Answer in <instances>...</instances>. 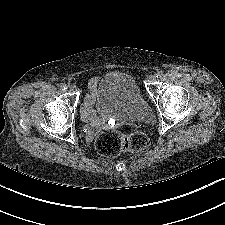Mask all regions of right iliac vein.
<instances>
[{"instance_id": "1", "label": "right iliac vein", "mask_w": 225, "mask_h": 225, "mask_svg": "<svg viewBox=\"0 0 225 225\" xmlns=\"http://www.w3.org/2000/svg\"><path fill=\"white\" fill-rule=\"evenodd\" d=\"M67 90H68L69 92H73V91H74V87H73L72 85H69V86L67 87Z\"/></svg>"}]
</instances>
